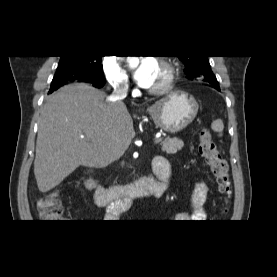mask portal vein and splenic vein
<instances>
[{
    "mask_svg": "<svg viewBox=\"0 0 277 277\" xmlns=\"http://www.w3.org/2000/svg\"><path fill=\"white\" fill-rule=\"evenodd\" d=\"M162 141L161 137L156 138V140L154 141V144H158Z\"/></svg>",
    "mask_w": 277,
    "mask_h": 277,
    "instance_id": "18ae733b",
    "label": "portal vein and splenic vein"
}]
</instances>
